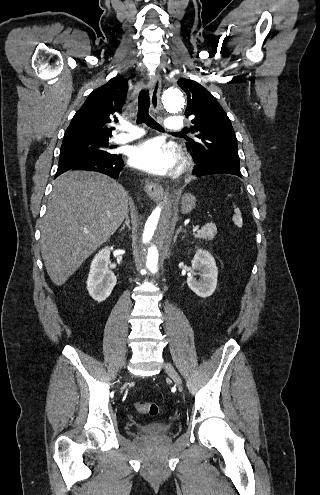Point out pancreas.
I'll return each instance as SVG.
<instances>
[{"label":"pancreas","mask_w":320,"mask_h":495,"mask_svg":"<svg viewBox=\"0 0 320 495\" xmlns=\"http://www.w3.org/2000/svg\"><path fill=\"white\" fill-rule=\"evenodd\" d=\"M217 234V228L214 223H207L197 233L194 234L195 238L213 240Z\"/></svg>","instance_id":"obj_1"}]
</instances>
